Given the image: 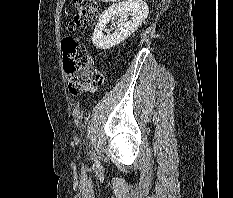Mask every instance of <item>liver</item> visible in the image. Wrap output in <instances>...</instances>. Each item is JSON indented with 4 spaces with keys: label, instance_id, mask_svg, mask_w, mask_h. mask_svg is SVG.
Here are the masks:
<instances>
[{
    "label": "liver",
    "instance_id": "liver-1",
    "mask_svg": "<svg viewBox=\"0 0 233 198\" xmlns=\"http://www.w3.org/2000/svg\"><path fill=\"white\" fill-rule=\"evenodd\" d=\"M98 1L108 3V2H119L120 0H98Z\"/></svg>",
    "mask_w": 233,
    "mask_h": 198
}]
</instances>
